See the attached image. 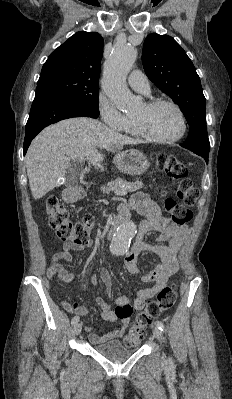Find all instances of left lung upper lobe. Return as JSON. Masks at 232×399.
Here are the masks:
<instances>
[{
  "label": "left lung upper lobe",
  "mask_w": 232,
  "mask_h": 399,
  "mask_svg": "<svg viewBox=\"0 0 232 399\" xmlns=\"http://www.w3.org/2000/svg\"><path fill=\"white\" fill-rule=\"evenodd\" d=\"M142 64L148 78L181 108L189 124L180 144L196 154H209L206 99L200 78L184 49L170 36L150 34L144 41Z\"/></svg>",
  "instance_id": "5c2ea615"
}]
</instances>
